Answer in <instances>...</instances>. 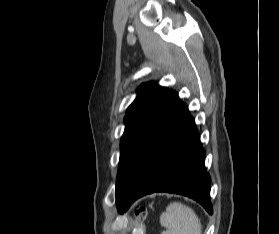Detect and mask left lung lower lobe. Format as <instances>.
Wrapping results in <instances>:
<instances>
[{
	"label": "left lung lower lobe",
	"mask_w": 279,
	"mask_h": 234,
	"mask_svg": "<svg viewBox=\"0 0 279 234\" xmlns=\"http://www.w3.org/2000/svg\"><path fill=\"white\" fill-rule=\"evenodd\" d=\"M205 151L185 103L168 90L135 155L121 192L123 212L143 195L170 192L186 195L209 214L211 179Z\"/></svg>",
	"instance_id": "1"
}]
</instances>
